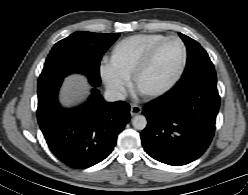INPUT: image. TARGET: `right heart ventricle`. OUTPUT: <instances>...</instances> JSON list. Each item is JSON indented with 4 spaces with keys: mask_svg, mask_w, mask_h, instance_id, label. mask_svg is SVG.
Here are the masks:
<instances>
[{
    "mask_svg": "<svg viewBox=\"0 0 248 195\" xmlns=\"http://www.w3.org/2000/svg\"><path fill=\"white\" fill-rule=\"evenodd\" d=\"M165 37L164 34H145L128 38L116 48L111 60L113 69L124 75L132 77L144 62L150 51Z\"/></svg>",
    "mask_w": 248,
    "mask_h": 195,
    "instance_id": "right-heart-ventricle-1",
    "label": "right heart ventricle"
}]
</instances>
